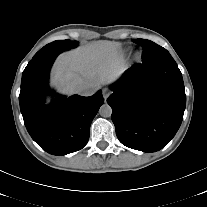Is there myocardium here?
<instances>
[{
  "label": "myocardium",
  "instance_id": "1",
  "mask_svg": "<svg viewBox=\"0 0 207 207\" xmlns=\"http://www.w3.org/2000/svg\"><path fill=\"white\" fill-rule=\"evenodd\" d=\"M140 59H141L140 55H139V54H136V55H135V61H136V62H139Z\"/></svg>",
  "mask_w": 207,
  "mask_h": 207
}]
</instances>
